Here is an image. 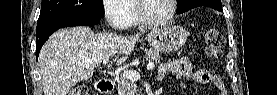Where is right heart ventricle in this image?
Returning a JSON list of instances; mask_svg holds the SVG:
<instances>
[{
  "label": "right heart ventricle",
  "mask_w": 277,
  "mask_h": 95,
  "mask_svg": "<svg viewBox=\"0 0 277 95\" xmlns=\"http://www.w3.org/2000/svg\"><path fill=\"white\" fill-rule=\"evenodd\" d=\"M124 6L128 10V16L125 20V24L129 26L138 25L140 22L135 14V12L132 11V1H125Z\"/></svg>",
  "instance_id": "e07e8e85"
}]
</instances>
